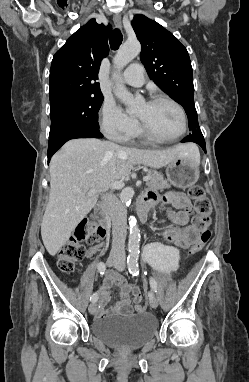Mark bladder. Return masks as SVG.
<instances>
[{
    "label": "bladder",
    "instance_id": "obj_1",
    "mask_svg": "<svg viewBox=\"0 0 249 382\" xmlns=\"http://www.w3.org/2000/svg\"><path fill=\"white\" fill-rule=\"evenodd\" d=\"M95 337L119 350H133L152 340L158 332V322L147 313L96 319L92 325Z\"/></svg>",
    "mask_w": 249,
    "mask_h": 382
}]
</instances>
